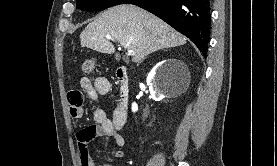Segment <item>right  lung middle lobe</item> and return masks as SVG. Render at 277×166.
<instances>
[{
	"label": "right lung middle lobe",
	"instance_id": "dd1d6c3e",
	"mask_svg": "<svg viewBox=\"0 0 277 166\" xmlns=\"http://www.w3.org/2000/svg\"><path fill=\"white\" fill-rule=\"evenodd\" d=\"M123 0H77L76 8L85 11L104 10L119 5Z\"/></svg>",
	"mask_w": 277,
	"mask_h": 166
}]
</instances>
